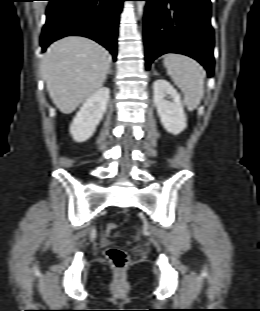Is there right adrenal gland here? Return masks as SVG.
<instances>
[{
  "mask_svg": "<svg viewBox=\"0 0 260 311\" xmlns=\"http://www.w3.org/2000/svg\"><path fill=\"white\" fill-rule=\"evenodd\" d=\"M108 74H112L111 66H110V68H109Z\"/></svg>",
  "mask_w": 260,
  "mask_h": 311,
  "instance_id": "right-adrenal-gland-1",
  "label": "right adrenal gland"
}]
</instances>
